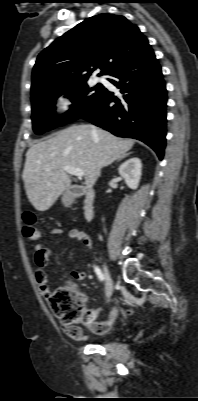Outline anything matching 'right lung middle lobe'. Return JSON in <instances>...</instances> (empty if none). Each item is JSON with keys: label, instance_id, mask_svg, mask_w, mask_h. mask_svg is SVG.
Masks as SVG:
<instances>
[{"label": "right lung middle lobe", "instance_id": "1", "mask_svg": "<svg viewBox=\"0 0 198 401\" xmlns=\"http://www.w3.org/2000/svg\"><path fill=\"white\" fill-rule=\"evenodd\" d=\"M104 87L98 84L90 87L87 81L77 83L39 94L32 99L33 130L36 134L54 129L57 126L68 124L88 113L104 92ZM65 94L72 101L67 113L56 117V99Z\"/></svg>", "mask_w": 198, "mask_h": 401}]
</instances>
